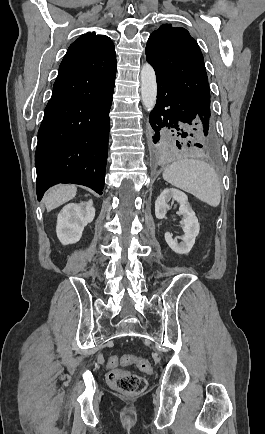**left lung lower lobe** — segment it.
I'll use <instances>...</instances> for the list:
<instances>
[{
    "label": "left lung lower lobe",
    "instance_id": "1",
    "mask_svg": "<svg viewBox=\"0 0 265 434\" xmlns=\"http://www.w3.org/2000/svg\"><path fill=\"white\" fill-rule=\"evenodd\" d=\"M158 93L157 103L149 116L154 129V151L161 155H170L176 149L186 146L201 149L203 153H215L219 149V138L211 116L205 110L196 108L173 84L156 73ZM188 124L185 129L181 126ZM174 132L173 136L187 138L192 141L182 142L169 140L166 132Z\"/></svg>",
    "mask_w": 265,
    "mask_h": 434
}]
</instances>
